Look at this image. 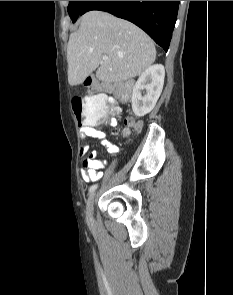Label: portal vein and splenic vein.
Masks as SVG:
<instances>
[{
	"label": "portal vein and splenic vein",
	"mask_w": 233,
	"mask_h": 295,
	"mask_svg": "<svg viewBox=\"0 0 233 295\" xmlns=\"http://www.w3.org/2000/svg\"><path fill=\"white\" fill-rule=\"evenodd\" d=\"M102 59L105 61V60H108V56H106V55H104L103 57H102Z\"/></svg>",
	"instance_id": "1"
}]
</instances>
